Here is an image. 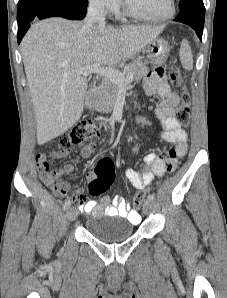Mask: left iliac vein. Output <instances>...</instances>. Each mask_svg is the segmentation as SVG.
I'll list each match as a JSON object with an SVG mask.
<instances>
[{"mask_svg":"<svg viewBox=\"0 0 227 298\" xmlns=\"http://www.w3.org/2000/svg\"><path fill=\"white\" fill-rule=\"evenodd\" d=\"M153 209V202L151 200H146L143 205V213L149 215Z\"/></svg>","mask_w":227,"mask_h":298,"instance_id":"1","label":"left iliac vein"}]
</instances>
